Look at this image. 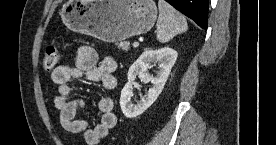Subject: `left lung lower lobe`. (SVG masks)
I'll return each instance as SVG.
<instances>
[{
	"label": "left lung lower lobe",
	"instance_id": "obj_1",
	"mask_svg": "<svg viewBox=\"0 0 276 145\" xmlns=\"http://www.w3.org/2000/svg\"><path fill=\"white\" fill-rule=\"evenodd\" d=\"M177 10L193 19L201 28L207 29L208 0H165Z\"/></svg>",
	"mask_w": 276,
	"mask_h": 145
}]
</instances>
